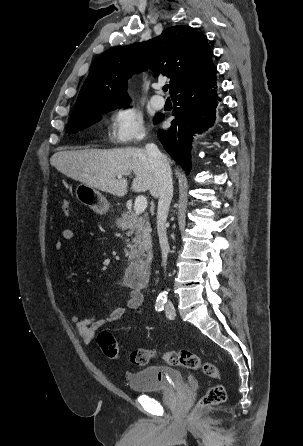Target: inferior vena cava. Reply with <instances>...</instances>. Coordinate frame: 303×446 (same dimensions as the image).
<instances>
[{
  "mask_svg": "<svg viewBox=\"0 0 303 446\" xmlns=\"http://www.w3.org/2000/svg\"><path fill=\"white\" fill-rule=\"evenodd\" d=\"M145 148L158 185L157 232L162 251V263L163 266H166L169 252L166 220L173 197L172 173L167 157L159 151L155 144H147Z\"/></svg>",
  "mask_w": 303,
  "mask_h": 446,
  "instance_id": "1",
  "label": "inferior vena cava"
}]
</instances>
